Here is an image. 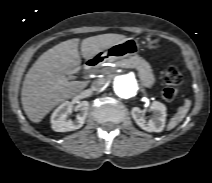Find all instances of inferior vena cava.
Returning <instances> with one entry per match:
<instances>
[{
    "label": "inferior vena cava",
    "mask_w": 212,
    "mask_h": 183,
    "mask_svg": "<svg viewBox=\"0 0 212 183\" xmlns=\"http://www.w3.org/2000/svg\"><path fill=\"white\" fill-rule=\"evenodd\" d=\"M105 85V80L103 79H97V80H94L91 84V89L93 91H99L101 90Z\"/></svg>",
    "instance_id": "inferior-vena-cava-1"
}]
</instances>
